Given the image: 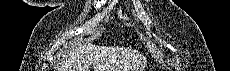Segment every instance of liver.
I'll return each mask as SVG.
<instances>
[{
	"instance_id": "liver-1",
	"label": "liver",
	"mask_w": 230,
	"mask_h": 71,
	"mask_svg": "<svg viewBox=\"0 0 230 71\" xmlns=\"http://www.w3.org/2000/svg\"><path fill=\"white\" fill-rule=\"evenodd\" d=\"M91 64L94 71H142L146 59L121 48L80 44L67 55L61 71H89Z\"/></svg>"
}]
</instances>
